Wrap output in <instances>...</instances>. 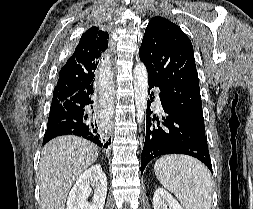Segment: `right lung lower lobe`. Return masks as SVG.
Returning <instances> with one entry per match:
<instances>
[{"label":"right lung lower lobe","instance_id":"right-lung-lower-lobe-1","mask_svg":"<svg viewBox=\"0 0 253 209\" xmlns=\"http://www.w3.org/2000/svg\"><path fill=\"white\" fill-rule=\"evenodd\" d=\"M94 86L92 82L70 96L53 97L43 144L58 136L76 135L109 149L111 138L108 140L103 127L93 118V112L87 114L84 109L93 104Z\"/></svg>","mask_w":253,"mask_h":209}]
</instances>
